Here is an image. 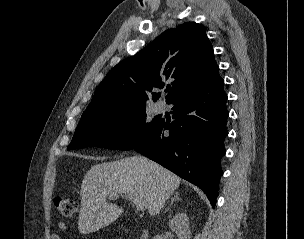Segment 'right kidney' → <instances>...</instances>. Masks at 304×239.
I'll return each instance as SVG.
<instances>
[{
	"instance_id": "ca27d5eb",
	"label": "right kidney",
	"mask_w": 304,
	"mask_h": 239,
	"mask_svg": "<svg viewBox=\"0 0 304 239\" xmlns=\"http://www.w3.org/2000/svg\"><path fill=\"white\" fill-rule=\"evenodd\" d=\"M170 229L177 234L179 239H190L191 231L186 214H176L170 221Z\"/></svg>"
}]
</instances>
